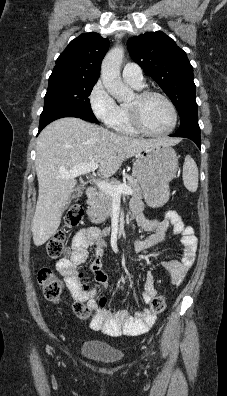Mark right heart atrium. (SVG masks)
<instances>
[{"label":"right heart atrium","instance_id":"1","mask_svg":"<svg viewBox=\"0 0 227 396\" xmlns=\"http://www.w3.org/2000/svg\"><path fill=\"white\" fill-rule=\"evenodd\" d=\"M88 99L94 116L101 122L109 124L117 113L118 105L101 80L93 85Z\"/></svg>","mask_w":227,"mask_h":396}]
</instances>
